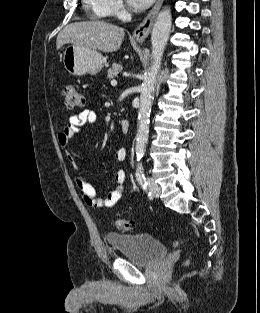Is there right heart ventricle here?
Returning a JSON list of instances; mask_svg holds the SVG:
<instances>
[{"label":"right heart ventricle","instance_id":"right-heart-ventricle-1","mask_svg":"<svg viewBox=\"0 0 260 313\" xmlns=\"http://www.w3.org/2000/svg\"><path fill=\"white\" fill-rule=\"evenodd\" d=\"M84 5L94 18L104 19L111 15L108 0H84Z\"/></svg>","mask_w":260,"mask_h":313}]
</instances>
